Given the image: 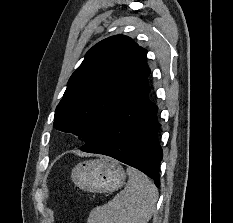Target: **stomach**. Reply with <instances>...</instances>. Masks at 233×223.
Wrapping results in <instances>:
<instances>
[{
	"mask_svg": "<svg viewBox=\"0 0 233 223\" xmlns=\"http://www.w3.org/2000/svg\"><path fill=\"white\" fill-rule=\"evenodd\" d=\"M72 181L85 191H116L124 185L125 171L118 161L110 157L89 159L75 165L71 171Z\"/></svg>",
	"mask_w": 233,
	"mask_h": 223,
	"instance_id": "1",
	"label": "stomach"
}]
</instances>
